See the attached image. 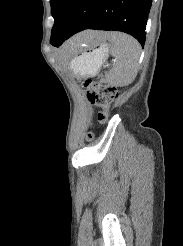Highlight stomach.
<instances>
[{
  "label": "stomach",
  "mask_w": 183,
  "mask_h": 246,
  "mask_svg": "<svg viewBox=\"0 0 183 246\" xmlns=\"http://www.w3.org/2000/svg\"><path fill=\"white\" fill-rule=\"evenodd\" d=\"M108 52L109 47L102 38L82 48V52L71 59L70 68L75 75H93L100 69Z\"/></svg>",
  "instance_id": "obj_1"
}]
</instances>
